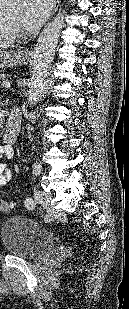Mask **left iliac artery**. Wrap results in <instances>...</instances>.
<instances>
[{
	"mask_svg": "<svg viewBox=\"0 0 129 309\" xmlns=\"http://www.w3.org/2000/svg\"><path fill=\"white\" fill-rule=\"evenodd\" d=\"M41 172V166L38 163H34L33 164V174L38 175ZM35 193H36V189H34ZM25 206L27 207V209L33 210L35 208V202L34 200H32L31 198L26 199L25 201ZM44 221H50V217L49 215H46L44 217Z\"/></svg>",
	"mask_w": 129,
	"mask_h": 309,
	"instance_id": "1",
	"label": "left iliac artery"
}]
</instances>
